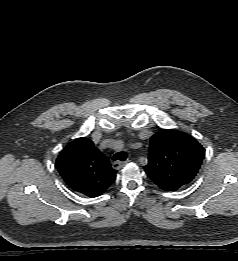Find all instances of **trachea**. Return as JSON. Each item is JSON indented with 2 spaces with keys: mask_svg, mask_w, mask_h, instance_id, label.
<instances>
[{
  "mask_svg": "<svg viewBox=\"0 0 238 261\" xmlns=\"http://www.w3.org/2000/svg\"><path fill=\"white\" fill-rule=\"evenodd\" d=\"M126 158H127V153L124 152V151L117 152V153L114 154V156H113V160H114V161H116V160L125 161Z\"/></svg>",
  "mask_w": 238,
  "mask_h": 261,
  "instance_id": "obj_1",
  "label": "trachea"
}]
</instances>
